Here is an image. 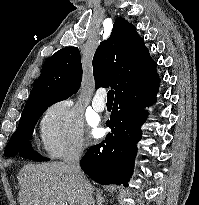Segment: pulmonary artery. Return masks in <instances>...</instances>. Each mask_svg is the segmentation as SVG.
<instances>
[{"mask_svg":"<svg viewBox=\"0 0 199 205\" xmlns=\"http://www.w3.org/2000/svg\"><path fill=\"white\" fill-rule=\"evenodd\" d=\"M104 90L99 89L96 91L93 100H92V107L97 112H102L106 108V101L104 99Z\"/></svg>","mask_w":199,"mask_h":205,"instance_id":"e3ab8cb5","label":"pulmonary artery"}]
</instances>
